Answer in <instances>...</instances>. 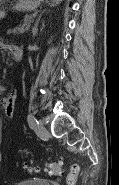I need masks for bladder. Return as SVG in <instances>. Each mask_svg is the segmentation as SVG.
I'll list each match as a JSON object with an SVG mask.
<instances>
[{
    "instance_id": "31cf9c89",
    "label": "bladder",
    "mask_w": 119,
    "mask_h": 185,
    "mask_svg": "<svg viewBox=\"0 0 119 185\" xmlns=\"http://www.w3.org/2000/svg\"><path fill=\"white\" fill-rule=\"evenodd\" d=\"M15 185H51L49 182L42 180V179H25L22 181H19Z\"/></svg>"
}]
</instances>
